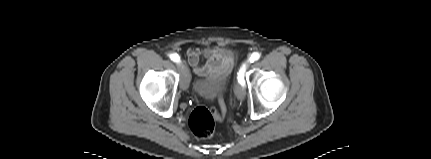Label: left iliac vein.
Returning a JSON list of instances; mask_svg holds the SVG:
<instances>
[{
  "label": "left iliac vein",
  "instance_id": "obj_1",
  "mask_svg": "<svg viewBox=\"0 0 431 159\" xmlns=\"http://www.w3.org/2000/svg\"><path fill=\"white\" fill-rule=\"evenodd\" d=\"M243 65L245 67H248L250 65V61L246 60ZM235 94L239 100H243L245 98V95H246V90H245L244 86H242L241 84H237L235 86Z\"/></svg>",
  "mask_w": 431,
  "mask_h": 159
}]
</instances>
